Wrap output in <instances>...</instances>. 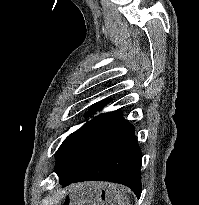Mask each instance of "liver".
<instances>
[{
    "mask_svg": "<svg viewBox=\"0 0 199 205\" xmlns=\"http://www.w3.org/2000/svg\"><path fill=\"white\" fill-rule=\"evenodd\" d=\"M112 189L115 191V199L117 201V204L124 205V200H126V197H124L123 192L117 190L116 186H112ZM87 202H89L91 205H96L98 203V200H95L93 196H88V198L85 199ZM82 204L84 201L81 202ZM81 204V205H82Z\"/></svg>",
    "mask_w": 199,
    "mask_h": 205,
    "instance_id": "1",
    "label": "liver"
}]
</instances>
